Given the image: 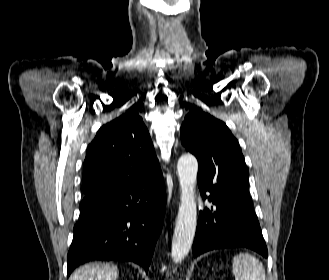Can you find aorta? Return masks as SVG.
I'll use <instances>...</instances> for the list:
<instances>
[{
	"label": "aorta",
	"mask_w": 329,
	"mask_h": 280,
	"mask_svg": "<svg viewBox=\"0 0 329 280\" xmlns=\"http://www.w3.org/2000/svg\"><path fill=\"white\" fill-rule=\"evenodd\" d=\"M177 172L181 189V204L172 239L171 256L175 263L181 262L189 253L195 236L197 207L195 184L198 173L197 159L190 154L180 157Z\"/></svg>",
	"instance_id": "aorta-1"
}]
</instances>
